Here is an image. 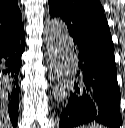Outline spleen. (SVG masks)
I'll return each instance as SVG.
<instances>
[{
  "mask_svg": "<svg viewBox=\"0 0 125 128\" xmlns=\"http://www.w3.org/2000/svg\"><path fill=\"white\" fill-rule=\"evenodd\" d=\"M83 128H102V126H99L97 124H92V125L85 126Z\"/></svg>",
  "mask_w": 125,
  "mask_h": 128,
  "instance_id": "spleen-1",
  "label": "spleen"
}]
</instances>
